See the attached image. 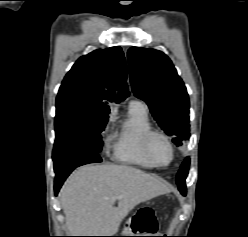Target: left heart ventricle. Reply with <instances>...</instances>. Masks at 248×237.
Instances as JSON below:
<instances>
[{
  "label": "left heart ventricle",
  "instance_id": "left-heart-ventricle-1",
  "mask_svg": "<svg viewBox=\"0 0 248 237\" xmlns=\"http://www.w3.org/2000/svg\"><path fill=\"white\" fill-rule=\"evenodd\" d=\"M151 154L154 160L159 164H166L171 156L168 144L161 137L153 138L151 142Z\"/></svg>",
  "mask_w": 248,
  "mask_h": 237
}]
</instances>
